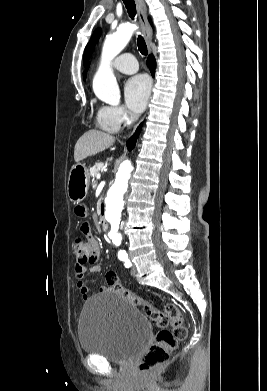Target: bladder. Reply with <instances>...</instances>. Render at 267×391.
Wrapping results in <instances>:
<instances>
[{
  "label": "bladder",
  "mask_w": 267,
  "mask_h": 391,
  "mask_svg": "<svg viewBox=\"0 0 267 391\" xmlns=\"http://www.w3.org/2000/svg\"><path fill=\"white\" fill-rule=\"evenodd\" d=\"M150 325L142 312L115 292L91 298L82 308L78 336L83 352L126 363L146 345Z\"/></svg>",
  "instance_id": "obj_1"
}]
</instances>
